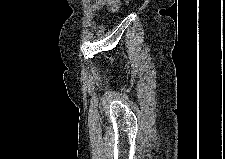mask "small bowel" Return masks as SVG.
<instances>
[{
    "label": "small bowel",
    "mask_w": 225,
    "mask_h": 159,
    "mask_svg": "<svg viewBox=\"0 0 225 159\" xmlns=\"http://www.w3.org/2000/svg\"><path fill=\"white\" fill-rule=\"evenodd\" d=\"M106 4V0H96L91 4V11L96 13L98 12L104 5Z\"/></svg>",
    "instance_id": "c3829d8e"
}]
</instances>
